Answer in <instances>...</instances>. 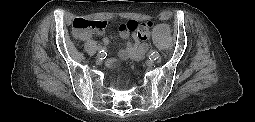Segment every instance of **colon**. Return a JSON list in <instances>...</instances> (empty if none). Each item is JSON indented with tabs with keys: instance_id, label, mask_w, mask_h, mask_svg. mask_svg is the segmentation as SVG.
I'll return each mask as SVG.
<instances>
[{
	"instance_id": "colon-1",
	"label": "colon",
	"mask_w": 255,
	"mask_h": 122,
	"mask_svg": "<svg viewBox=\"0 0 255 122\" xmlns=\"http://www.w3.org/2000/svg\"><path fill=\"white\" fill-rule=\"evenodd\" d=\"M126 29L130 32H137L140 39H145L151 27L150 22H138L136 20H130L125 24ZM107 26V22L104 20H94L77 18L73 21L72 30L76 37L82 38L88 31H103Z\"/></svg>"
}]
</instances>
